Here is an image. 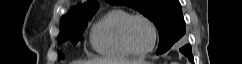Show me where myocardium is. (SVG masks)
<instances>
[{"label": "myocardium", "mask_w": 242, "mask_h": 64, "mask_svg": "<svg viewBox=\"0 0 242 64\" xmlns=\"http://www.w3.org/2000/svg\"><path fill=\"white\" fill-rule=\"evenodd\" d=\"M136 19L144 20L149 25V27L152 31V34H153V42H152L151 47L144 51H138V50L134 49L129 40V36H128L129 27H130L131 23ZM121 38H122V42H123L124 46L132 55L145 56V55L150 54L155 49L157 42H158V30H157V27L154 24V22L146 15L133 14V15H130L124 22V24L122 26V30H121Z\"/></svg>", "instance_id": "f54148a6"}]
</instances>
